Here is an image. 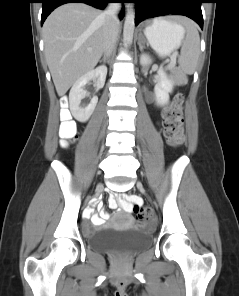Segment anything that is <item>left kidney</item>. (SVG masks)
I'll return each instance as SVG.
<instances>
[{"label":"left kidney","instance_id":"1","mask_svg":"<svg viewBox=\"0 0 239 296\" xmlns=\"http://www.w3.org/2000/svg\"><path fill=\"white\" fill-rule=\"evenodd\" d=\"M140 63L142 66L150 64V56L142 54L140 56ZM157 74L159 79L154 88L155 101L158 106H165L169 102V93L173 91L174 83L162 68L158 70Z\"/></svg>","mask_w":239,"mask_h":296}]
</instances>
